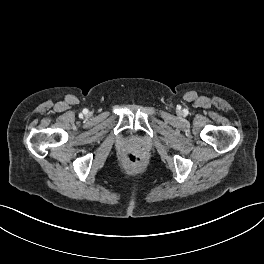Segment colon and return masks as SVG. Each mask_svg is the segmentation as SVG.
<instances>
[{
  "label": "colon",
  "instance_id": "obj_1",
  "mask_svg": "<svg viewBox=\"0 0 264 264\" xmlns=\"http://www.w3.org/2000/svg\"><path fill=\"white\" fill-rule=\"evenodd\" d=\"M141 161V157L133 153H128L124 156V162L130 167H138Z\"/></svg>",
  "mask_w": 264,
  "mask_h": 264
}]
</instances>
